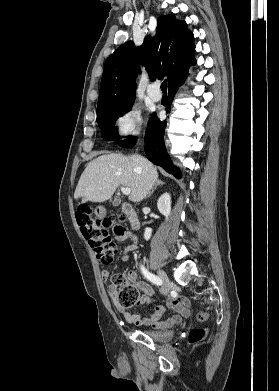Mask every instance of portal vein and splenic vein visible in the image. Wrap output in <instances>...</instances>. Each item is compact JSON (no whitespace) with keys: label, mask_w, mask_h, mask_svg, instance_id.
Returning a JSON list of instances; mask_svg holds the SVG:
<instances>
[{"label":"portal vein and splenic vein","mask_w":279,"mask_h":391,"mask_svg":"<svg viewBox=\"0 0 279 391\" xmlns=\"http://www.w3.org/2000/svg\"><path fill=\"white\" fill-rule=\"evenodd\" d=\"M121 191L124 195H130V193H131V190L125 186H121Z\"/></svg>","instance_id":"portal-vein-and-splenic-vein-1"}]
</instances>
